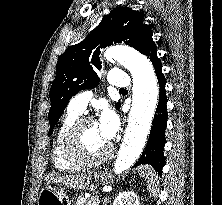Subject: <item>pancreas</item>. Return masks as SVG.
Wrapping results in <instances>:
<instances>
[{"instance_id": "cf45deb5", "label": "pancreas", "mask_w": 222, "mask_h": 205, "mask_svg": "<svg viewBox=\"0 0 222 205\" xmlns=\"http://www.w3.org/2000/svg\"><path fill=\"white\" fill-rule=\"evenodd\" d=\"M99 199L96 196H92L90 198H85L83 196H79L77 199L76 205H98Z\"/></svg>"}]
</instances>
